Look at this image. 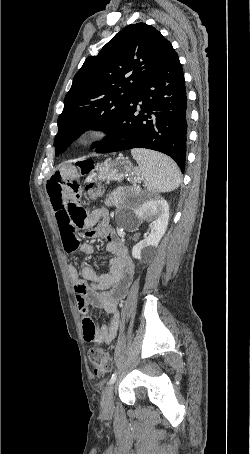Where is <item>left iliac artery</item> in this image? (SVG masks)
Returning <instances> with one entry per match:
<instances>
[{"label":"left iliac artery","instance_id":"obj_1","mask_svg":"<svg viewBox=\"0 0 250 454\" xmlns=\"http://www.w3.org/2000/svg\"><path fill=\"white\" fill-rule=\"evenodd\" d=\"M116 377H117V372L115 371V372L112 374V376H111V378H110V380H109V382H108V385L113 384V383L115 382V380H116Z\"/></svg>","mask_w":250,"mask_h":454}]
</instances>
